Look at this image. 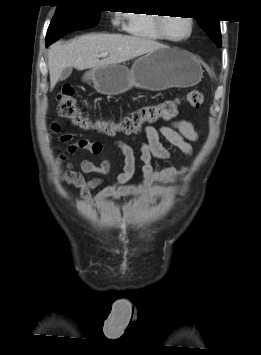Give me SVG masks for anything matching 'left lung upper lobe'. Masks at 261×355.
Here are the masks:
<instances>
[{
  "label": "left lung upper lobe",
  "mask_w": 261,
  "mask_h": 355,
  "mask_svg": "<svg viewBox=\"0 0 261 355\" xmlns=\"http://www.w3.org/2000/svg\"><path fill=\"white\" fill-rule=\"evenodd\" d=\"M201 28L218 45L221 46V33L219 20L196 19Z\"/></svg>",
  "instance_id": "obj_1"
}]
</instances>
